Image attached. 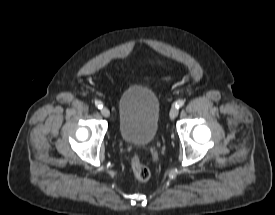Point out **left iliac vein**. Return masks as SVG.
I'll return each mask as SVG.
<instances>
[{"label":"left iliac vein","instance_id":"1","mask_svg":"<svg viewBox=\"0 0 275 215\" xmlns=\"http://www.w3.org/2000/svg\"><path fill=\"white\" fill-rule=\"evenodd\" d=\"M178 113H179L178 108H176V107L171 108L170 113H169L170 119L174 120L177 117Z\"/></svg>","mask_w":275,"mask_h":215}]
</instances>
